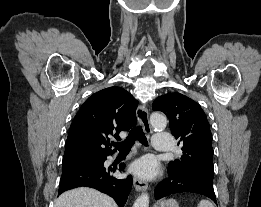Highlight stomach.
Segmentation results:
<instances>
[{"label": "stomach", "mask_w": 261, "mask_h": 207, "mask_svg": "<svg viewBox=\"0 0 261 207\" xmlns=\"http://www.w3.org/2000/svg\"><path fill=\"white\" fill-rule=\"evenodd\" d=\"M155 207H179V205L174 199H166L160 201Z\"/></svg>", "instance_id": "obj_1"}]
</instances>
